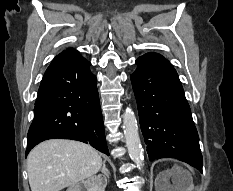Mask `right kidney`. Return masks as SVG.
Returning <instances> with one entry per match:
<instances>
[{
    "mask_svg": "<svg viewBox=\"0 0 233 191\" xmlns=\"http://www.w3.org/2000/svg\"><path fill=\"white\" fill-rule=\"evenodd\" d=\"M88 191H104L107 183L101 182L96 176L91 177L88 181L84 182ZM67 191H80L79 187H72Z\"/></svg>",
    "mask_w": 233,
    "mask_h": 191,
    "instance_id": "ca27d5eb",
    "label": "right kidney"
}]
</instances>
